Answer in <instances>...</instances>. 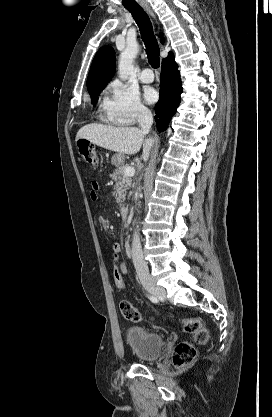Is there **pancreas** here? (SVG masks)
<instances>
[{
    "instance_id": "1",
    "label": "pancreas",
    "mask_w": 272,
    "mask_h": 417,
    "mask_svg": "<svg viewBox=\"0 0 272 417\" xmlns=\"http://www.w3.org/2000/svg\"><path fill=\"white\" fill-rule=\"evenodd\" d=\"M126 167L127 165L124 164L122 166H119V168L116 169L111 175L112 179L116 182L114 186V196L116 202L120 205H122V203L125 200L127 188L130 187L132 184V178L124 174V170Z\"/></svg>"
}]
</instances>
